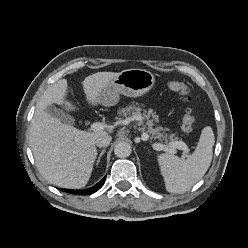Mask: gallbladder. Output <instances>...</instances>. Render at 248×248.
<instances>
[{"label":"gallbladder","instance_id":"1","mask_svg":"<svg viewBox=\"0 0 248 248\" xmlns=\"http://www.w3.org/2000/svg\"><path fill=\"white\" fill-rule=\"evenodd\" d=\"M46 112L53 118H56L60 121L67 123H74V119H72L69 115L63 112L61 109L56 108L55 106H48Z\"/></svg>","mask_w":248,"mask_h":248}]
</instances>
